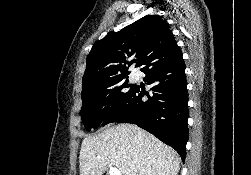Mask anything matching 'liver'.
<instances>
[{"mask_svg":"<svg viewBox=\"0 0 251 175\" xmlns=\"http://www.w3.org/2000/svg\"><path fill=\"white\" fill-rule=\"evenodd\" d=\"M80 175H102L117 167L123 175H178L175 149L130 123H118L81 143Z\"/></svg>","mask_w":251,"mask_h":175,"instance_id":"1","label":"liver"}]
</instances>
